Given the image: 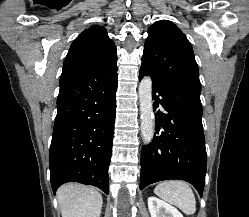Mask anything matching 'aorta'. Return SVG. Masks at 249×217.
<instances>
[{"label":"aorta","mask_w":249,"mask_h":217,"mask_svg":"<svg viewBox=\"0 0 249 217\" xmlns=\"http://www.w3.org/2000/svg\"><path fill=\"white\" fill-rule=\"evenodd\" d=\"M138 94L141 114V135L145 144H149L152 141L155 132L151 77L145 76L140 81Z\"/></svg>","instance_id":"obj_1"}]
</instances>
